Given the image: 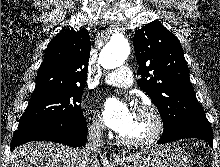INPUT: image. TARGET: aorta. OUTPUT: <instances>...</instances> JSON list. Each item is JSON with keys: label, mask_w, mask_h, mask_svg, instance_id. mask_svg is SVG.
I'll return each mask as SVG.
<instances>
[{"label": "aorta", "mask_w": 220, "mask_h": 167, "mask_svg": "<svg viewBox=\"0 0 220 167\" xmlns=\"http://www.w3.org/2000/svg\"><path fill=\"white\" fill-rule=\"evenodd\" d=\"M129 54L128 41L123 36L117 35L102 49L98 61L104 69H114L123 65Z\"/></svg>", "instance_id": "aorta-1"}]
</instances>
